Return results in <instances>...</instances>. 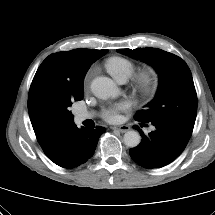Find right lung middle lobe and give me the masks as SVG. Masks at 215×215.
Returning a JSON list of instances; mask_svg holds the SVG:
<instances>
[{"instance_id": "right-lung-middle-lobe-1", "label": "right lung middle lobe", "mask_w": 215, "mask_h": 215, "mask_svg": "<svg viewBox=\"0 0 215 215\" xmlns=\"http://www.w3.org/2000/svg\"><path fill=\"white\" fill-rule=\"evenodd\" d=\"M107 50H104V54ZM62 66L69 77H65L61 72ZM83 70V63L67 59L62 63H43L38 68L28 97V111L39 119L61 124L73 121V114L70 106L74 101L82 100L83 88L75 87L71 84L70 78L79 74Z\"/></svg>"}]
</instances>
